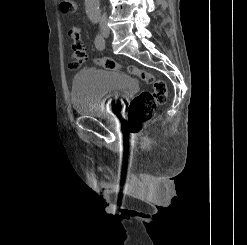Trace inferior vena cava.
<instances>
[{"mask_svg": "<svg viewBox=\"0 0 247 245\" xmlns=\"http://www.w3.org/2000/svg\"><path fill=\"white\" fill-rule=\"evenodd\" d=\"M106 14H103L102 16H101V20H100V22H101V25L103 26V27H106Z\"/></svg>", "mask_w": 247, "mask_h": 245, "instance_id": "602c4592", "label": "inferior vena cava"}]
</instances>
